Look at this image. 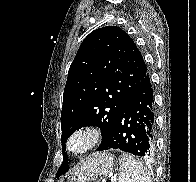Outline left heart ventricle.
I'll use <instances>...</instances> for the list:
<instances>
[{"mask_svg":"<svg viewBox=\"0 0 196 182\" xmlns=\"http://www.w3.org/2000/svg\"><path fill=\"white\" fill-rule=\"evenodd\" d=\"M81 146H82V141L80 140L75 141L73 144V148L76 150L79 149Z\"/></svg>","mask_w":196,"mask_h":182,"instance_id":"1","label":"left heart ventricle"}]
</instances>
